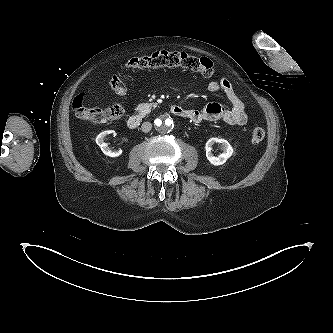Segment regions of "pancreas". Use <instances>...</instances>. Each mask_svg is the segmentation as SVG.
Listing matches in <instances>:
<instances>
[{"label": "pancreas", "instance_id": "pancreas-1", "mask_svg": "<svg viewBox=\"0 0 333 333\" xmlns=\"http://www.w3.org/2000/svg\"><path fill=\"white\" fill-rule=\"evenodd\" d=\"M157 103H141L136 107V110L140 115L145 116L151 111V108H155Z\"/></svg>", "mask_w": 333, "mask_h": 333}]
</instances>
